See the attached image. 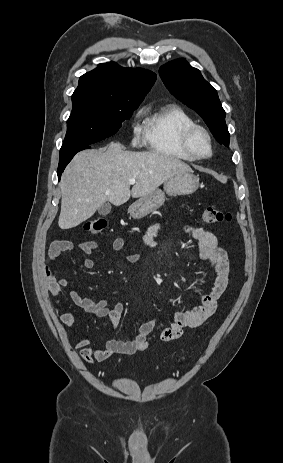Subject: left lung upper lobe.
<instances>
[{
  "mask_svg": "<svg viewBox=\"0 0 283 463\" xmlns=\"http://www.w3.org/2000/svg\"><path fill=\"white\" fill-rule=\"evenodd\" d=\"M159 74L169 91L204 119L217 141L229 146L230 134L225 123V111L217 91L200 71L190 66L185 59H177L163 65Z\"/></svg>",
  "mask_w": 283,
  "mask_h": 463,
  "instance_id": "1",
  "label": "left lung upper lobe"
}]
</instances>
